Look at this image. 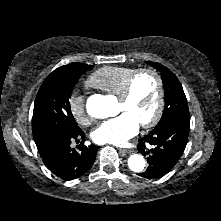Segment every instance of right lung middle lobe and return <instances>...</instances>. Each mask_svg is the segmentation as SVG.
Segmentation results:
<instances>
[{"mask_svg": "<svg viewBox=\"0 0 221 221\" xmlns=\"http://www.w3.org/2000/svg\"><path fill=\"white\" fill-rule=\"evenodd\" d=\"M91 68V65L70 63L47 76L34 104V138L52 132L75 133L80 130L72 115L69 99L79 78Z\"/></svg>", "mask_w": 221, "mask_h": 221, "instance_id": "right-lung-middle-lobe-1", "label": "right lung middle lobe"}]
</instances>
